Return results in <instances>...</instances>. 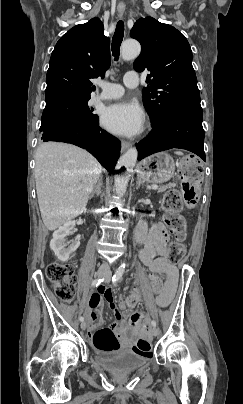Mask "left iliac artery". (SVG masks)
Instances as JSON below:
<instances>
[{
  "label": "left iliac artery",
  "mask_w": 243,
  "mask_h": 404,
  "mask_svg": "<svg viewBox=\"0 0 243 404\" xmlns=\"http://www.w3.org/2000/svg\"><path fill=\"white\" fill-rule=\"evenodd\" d=\"M122 275V272H118L113 276L112 281L114 285H117V283L122 279ZM151 324L153 327H156V322L154 320H152Z\"/></svg>",
  "instance_id": "44dca946"
}]
</instances>
